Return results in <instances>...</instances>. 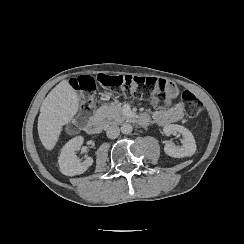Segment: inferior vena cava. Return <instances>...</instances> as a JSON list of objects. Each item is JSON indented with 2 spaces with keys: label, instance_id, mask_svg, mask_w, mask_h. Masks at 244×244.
<instances>
[{
  "label": "inferior vena cava",
  "instance_id": "602c4592",
  "mask_svg": "<svg viewBox=\"0 0 244 244\" xmlns=\"http://www.w3.org/2000/svg\"><path fill=\"white\" fill-rule=\"evenodd\" d=\"M106 134L108 138L115 139L120 134V128L117 125L109 126L106 130Z\"/></svg>",
  "mask_w": 244,
  "mask_h": 244
}]
</instances>
